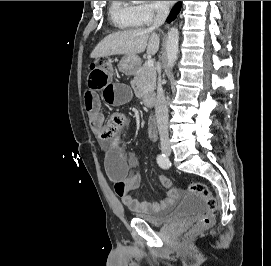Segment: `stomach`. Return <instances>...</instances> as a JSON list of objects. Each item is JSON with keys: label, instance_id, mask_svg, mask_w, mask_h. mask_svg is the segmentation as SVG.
I'll return each instance as SVG.
<instances>
[{"label": "stomach", "instance_id": "obj_1", "mask_svg": "<svg viewBox=\"0 0 271 266\" xmlns=\"http://www.w3.org/2000/svg\"><path fill=\"white\" fill-rule=\"evenodd\" d=\"M140 63L137 55H125L120 61L118 67L121 72L127 73L134 71Z\"/></svg>", "mask_w": 271, "mask_h": 266}]
</instances>
